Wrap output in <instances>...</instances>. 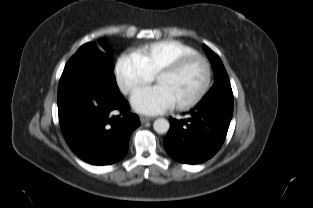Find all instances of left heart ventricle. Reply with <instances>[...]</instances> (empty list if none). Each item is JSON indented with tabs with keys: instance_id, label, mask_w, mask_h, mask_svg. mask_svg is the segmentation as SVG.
Here are the masks:
<instances>
[{
	"instance_id": "b2bd125f",
	"label": "left heart ventricle",
	"mask_w": 313,
	"mask_h": 208,
	"mask_svg": "<svg viewBox=\"0 0 313 208\" xmlns=\"http://www.w3.org/2000/svg\"><path fill=\"white\" fill-rule=\"evenodd\" d=\"M204 76L202 63L194 61L175 74L160 75L156 83L163 86L177 104L189 100L198 93L204 82Z\"/></svg>"
}]
</instances>
